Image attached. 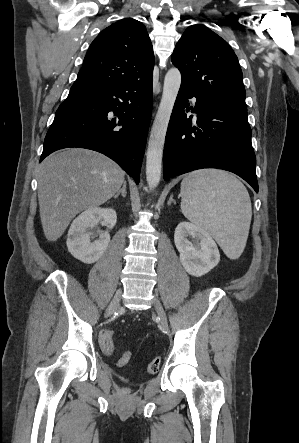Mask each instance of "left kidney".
<instances>
[{
  "instance_id": "1",
  "label": "left kidney",
  "mask_w": 299,
  "mask_h": 443,
  "mask_svg": "<svg viewBox=\"0 0 299 443\" xmlns=\"http://www.w3.org/2000/svg\"><path fill=\"white\" fill-rule=\"evenodd\" d=\"M174 242L180 253L181 264L192 276L205 275L220 261L218 247L211 235L195 224L179 223Z\"/></svg>"
}]
</instances>
